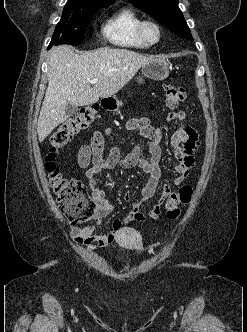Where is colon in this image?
Wrapping results in <instances>:
<instances>
[{
    "label": "colon",
    "mask_w": 247,
    "mask_h": 332,
    "mask_svg": "<svg viewBox=\"0 0 247 332\" xmlns=\"http://www.w3.org/2000/svg\"><path fill=\"white\" fill-rule=\"evenodd\" d=\"M168 108L174 109L186 99V90L182 86H169L165 92ZM97 108L86 106L81 108L72 118L61 124L50 137V148L45 158V168L49 182L61 205L62 211L71 224H76L92 217L95 202L89 197L83 182L65 175L55 164L56 153L71 141L76 133L87 128L94 119ZM193 197V189L189 185L171 191L165 202L166 216L175 220L180 216V205L188 204ZM121 222L116 220L114 230H119Z\"/></svg>",
    "instance_id": "obj_1"
}]
</instances>
